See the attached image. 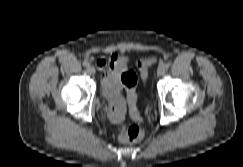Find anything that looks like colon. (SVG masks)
Wrapping results in <instances>:
<instances>
[{
    "label": "colon",
    "mask_w": 243,
    "mask_h": 167,
    "mask_svg": "<svg viewBox=\"0 0 243 167\" xmlns=\"http://www.w3.org/2000/svg\"><path fill=\"white\" fill-rule=\"evenodd\" d=\"M155 58L146 57L137 60L136 65L140 71L141 77L146 79L148 68L154 64ZM120 81L127 90L128 99L132 106H135L136 96L135 87L137 84V75L133 70H125L120 75ZM143 137L141 128L136 124L128 125L119 135V140L123 143H135Z\"/></svg>",
    "instance_id": "5ec220e1"
}]
</instances>
